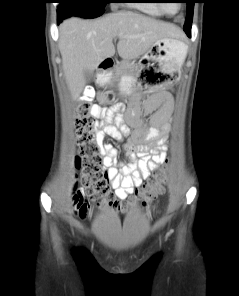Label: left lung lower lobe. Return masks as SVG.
<instances>
[{
	"label": "left lung lower lobe",
	"mask_w": 239,
	"mask_h": 296,
	"mask_svg": "<svg viewBox=\"0 0 239 296\" xmlns=\"http://www.w3.org/2000/svg\"><path fill=\"white\" fill-rule=\"evenodd\" d=\"M184 31L186 32L188 37H191V28L183 27Z\"/></svg>",
	"instance_id": "1"
}]
</instances>
